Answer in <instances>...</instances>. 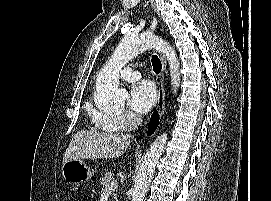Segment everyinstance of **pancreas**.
I'll list each match as a JSON object with an SVG mask.
<instances>
[{
  "label": "pancreas",
  "instance_id": "obj_1",
  "mask_svg": "<svg viewBox=\"0 0 271 201\" xmlns=\"http://www.w3.org/2000/svg\"><path fill=\"white\" fill-rule=\"evenodd\" d=\"M112 181H113V174L111 172H106L104 176L100 178L102 190L106 189Z\"/></svg>",
  "mask_w": 271,
  "mask_h": 201
}]
</instances>
